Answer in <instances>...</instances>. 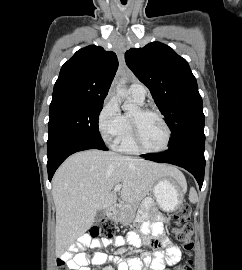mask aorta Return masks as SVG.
Returning <instances> with one entry per match:
<instances>
[{
	"mask_svg": "<svg viewBox=\"0 0 242 270\" xmlns=\"http://www.w3.org/2000/svg\"><path fill=\"white\" fill-rule=\"evenodd\" d=\"M124 83H125V79H122L121 80V85L117 88V94L119 96H121L122 98H125V97L128 96L127 91L122 86V84H124ZM122 109L124 111H126V112L133 113V112H135L138 109V107L135 106L132 102L126 101L123 104Z\"/></svg>",
	"mask_w": 242,
	"mask_h": 270,
	"instance_id": "1",
	"label": "aorta"
}]
</instances>
